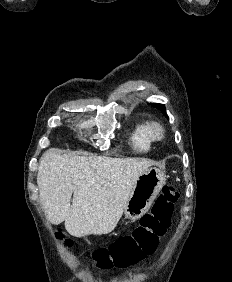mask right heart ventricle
<instances>
[{"label":"right heart ventricle","instance_id":"right-heart-ventricle-1","mask_svg":"<svg viewBox=\"0 0 232 282\" xmlns=\"http://www.w3.org/2000/svg\"><path fill=\"white\" fill-rule=\"evenodd\" d=\"M149 123L147 120H134L127 132V142L135 153H147L152 149L153 140L149 135Z\"/></svg>","mask_w":232,"mask_h":282}]
</instances>
